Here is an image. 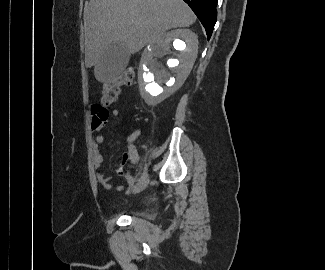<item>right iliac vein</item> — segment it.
Returning <instances> with one entry per match:
<instances>
[{
    "label": "right iliac vein",
    "instance_id": "63e3f726",
    "mask_svg": "<svg viewBox=\"0 0 325 270\" xmlns=\"http://www.w3.org/2000/svg\"><path fill=\"white\" fill-rule=\"evenodd\" d=\"M148 182H149V178H145L144 180L138 182L134 188H133V193L136 194V193H139L141 191H143L147 185H148Z\"/></svg>",
    "mask_w": 325,
    "mask_h": 270
}]
</instances>
